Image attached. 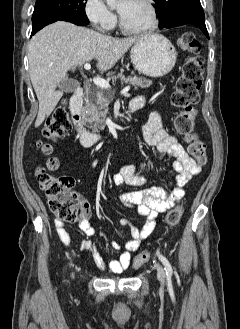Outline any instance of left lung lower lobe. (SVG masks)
I'll return each instance as SVG.
<instances>
[{
	"label": "left lung lower lobe",
	"instance_id": "obj_1",
	"mask_svg": "<svg viewBox=\"0 0 240 329\" xmlns=\"http://www.w3.org/2000/svg\"><path fill=\"white\" fill-rule=\"evenodd\" d=\"M185 24H193L200 28L205 36L209 39L208 31L205 25V19H197V18H179L173 20L172 22L168 23L164 28H171L175 26H181Z\"/></svg>",
	"mask_w": 240,
	"mask_h": 329
}]
</instances>
